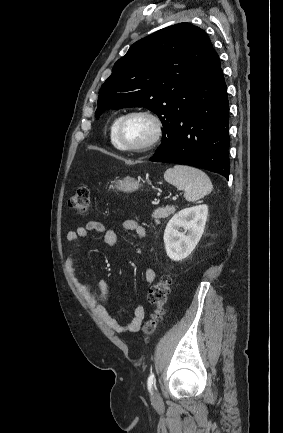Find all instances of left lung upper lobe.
Returning a JSON list of instances; mask_svg holds the SVG:
<instances>
[{
  "label": "left lung upper lobe",
  "instance_id": "obj_1",
  "mask_svg": "<svg viewBox=\"0 0 283 433\" xmlns=\"http://www.w3.org/2000/svg\"><path fill=\"white\" fill-rule=\"evenodd\" d=\"M212 51L206 33L190 23L135 42L102 85L96 119L108 109L138 106L156 113L163 126L174 122L192 107L194 80Z\"/></svg>",
  "mask_w": 283,
  "mask_h": 433
}]
</instances>
